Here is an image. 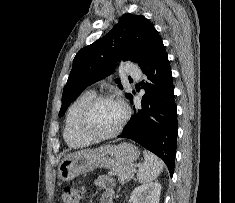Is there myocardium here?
I'll return each mask as SVG.
<instances>
[{"mask_svg": "<svg viewBox=\"0 0 235 203\" xmlns=\"http://www.w3.org/2000/svg\"><path fill=\"white\" fill-rule=\"evenodd\" d=\"M104 101L118 102L123 108V117L120 123L118 124V126L114 130L108 133L99 134V133L92 131L88 127V120L94 107L97 104L104 102ZM129 118H130V109L124 101L111 95H105V94L95 95L83 106L78 116L77 130L82 136L90 139L91 141L106 140V139H110V138L117 136L123 130Z\"/></svg>", "mask_w": 235, "mask_h": 203, "instance_id": "f54148a6", "label": "myocardium"}]
</instances>
